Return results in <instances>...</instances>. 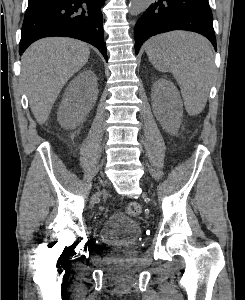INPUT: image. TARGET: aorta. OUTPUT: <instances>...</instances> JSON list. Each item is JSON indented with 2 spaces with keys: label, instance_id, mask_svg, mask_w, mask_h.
I'll return each instance as SVG.
<instances>
[{
  "label": "aorta",
  "instance_id": "762f6f07",
  "mask_svg": "<svg viewBox=\"0 0 245 300\" xmlns=\"http://www.w3.org/2000/svg\"><path fill=\"white\" fill-rule=\"evenodd\" d=\"M153 0H130L129 13L132 16L139 15L144 12L151 4Z\"/></svg>",
  "mask_w": 245,
  "mask_h": 300
}]
</instances>
